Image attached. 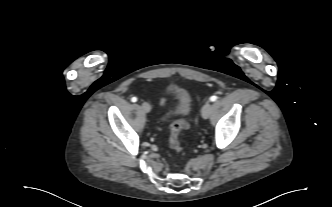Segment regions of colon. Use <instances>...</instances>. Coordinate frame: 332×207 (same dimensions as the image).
<instances>
[{
  "label": "colon",
  "mask_w": 332,
  "mask_h": 207,
  "mask_svg": "<svg viewBox=\"0 0 332 207\" xmlns=\"http://www.w3.org/2000/svg\"><path fill=\"white\" fill-rule=\"evenodd\" d=\"M188 127V122L185 118L179 117L172 121L170 125V135H169V147L177 152L181 153L183 147L180 142V133Z\"/></svg>",
  "instance_id": "obj_1"
}]
</instances>
